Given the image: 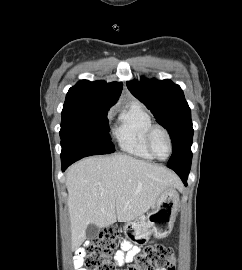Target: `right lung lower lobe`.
Segmentation results:
<instances>
[{
  "mask_svg": "<svg viewBox=\"0 0 242 270\" xmlns=\"http://www.w3.org/2000/svg\"><path fill=\"white\" fill-rule=\"evenodd\" d=\"M73 162H75V161H65V162H62V171H65V169H66L70 164H72Z\"/></svg>",
  "mask_w": 242,
  "mask_h": 270,
  "instance_id": "1",
  "label": "right lung lower lobe"
}]
</instances>
